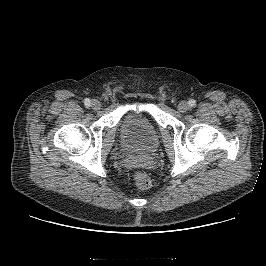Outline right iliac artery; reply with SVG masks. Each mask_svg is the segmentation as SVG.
I'll return each mask as SVG.
<instances>
[{"label": "right iliac artery", "instance_id": "obj_1", "mask_svg": "<svg viewBox=\"0 0 266 266\" xmlns=\"http://www.w3.org/2000/svg\"><path fill=\"white\" fill-rule=\"evenodd\" d=\"M84 103H85L86 106H89L90 105V99L86 98L84 100Z\"/></svg>", "mask_w": 266, "mask_h": 266}]
</instances>
